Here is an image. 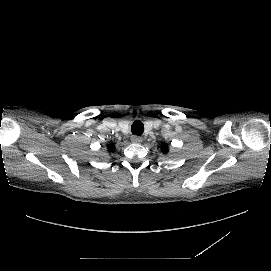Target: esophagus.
<instances>
[{"mask_svg":"<svg viewBox=\"0 0 271 271\" xmlns=\"http://www.w3.org/2000/svg\"><path fill=\"white\" fill-rule=\"evenodd\" d=\"M130 140L132 143H141L143 139L140 136L132 135Z\"/></svg>","mask_w":271,"mask_h":271,"instance_id":"34e87169","label":"esophagus"}]
</instances>
